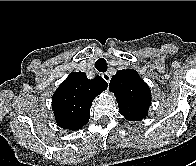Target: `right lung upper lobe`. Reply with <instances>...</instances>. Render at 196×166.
Listing matches in <instances>:
<instances>
[{
  "mask_svg": "<svg viewBox=\"0 0 196 166\" xmlns=\"http://www.w3.org/2000/svg\"><path fill=\"white\" fill-rule=\"evenodd\" d=\"M107 87L108 83L100 76L90 80L84 72L70 73L52 97L57 124L73 131L83 127L89 121L94 98Z\"/></svg>",
  "mask_w": 196,
  "mask_h": 166,
  "instance_id": "right-lung-upper-lobe-1",
  "label": "right lung upper lobe"
}]
</instances>
